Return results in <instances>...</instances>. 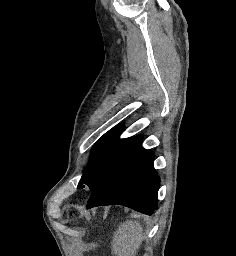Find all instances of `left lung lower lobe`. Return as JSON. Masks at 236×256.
<instances>
[{"label":"left lung lower lobe","instance_id":"left-lung-lower-lobe-1","mask_svg":"<svg viewBox=\"0 0 236 256\" xmlns=\"http://www.w3.org/2000/svg\"><path fill=\"white\" fill-rule=\"evenodd\" d=\"M137 136L128 144L109 175L93 190L87 208L120 204L150 215L157 209L160 178L153 167L154 153Z\"/></svg>","mask_w":236,"mask_h":256}]
</instances>
